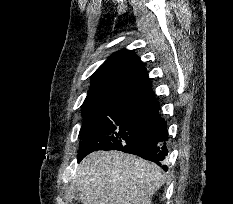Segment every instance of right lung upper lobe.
I'll use <instances>...</instances> for the list:
<instances>
[{"instance_id": "cb5924a9", "label": "right lung upper lobe", "mask_w": 233, "mask_h": 204, "mask_svg": "<svg viewBox=\"0 0 233 204\" xmlns=\"http://www.w3.org/2000/svg\"><path fill=\"white\" fill-rule=\"evenodd\" d=\"M146 68L130 50L111 55L93 74L83 103V117L110 105L130 101H154Z\"/></svg>"}]
</instances>
